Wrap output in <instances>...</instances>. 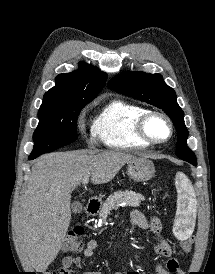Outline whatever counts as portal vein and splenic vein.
Here are the masks:
<instances>
[{"label":"portal vein and splenic vein","instance_id":"18ae733b","mask_svg":"<svg viewBox=\"0 0 215 274\" xmlns=\"http://www.w3.org/2000/svg\"><path fill=\"white\" fill-rule=\"evenodd\" d=\"M89 176H90V175H87V176H85V177L83 178L82 184H83L84 186H86V185L88 184V182H89Z\"/></svg>","mask_w":215,"mask_h":274}]
</instances>
